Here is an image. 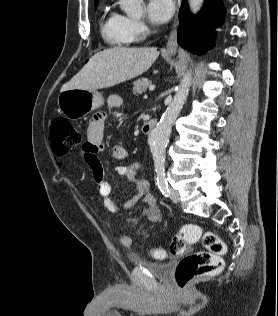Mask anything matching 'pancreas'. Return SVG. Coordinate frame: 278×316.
<instances>
[{
    "label": "pancreas",
    "mask_w": 278,
    "mask_h": 316,
    "mask_svg": "<svg viewBox=\"0 0 278 316\" xmlns=\"http://www.w3.org/2000/svg\"><path fill=\"white\" fill-rule=\"evenodd\" d=\"M152 81L147 78H141L134 81L133 86V93L135 95H140L145 93L147 88L151 85Z\"/></svg>",
    "instance_id": "obj_1"
}]
</instances>
